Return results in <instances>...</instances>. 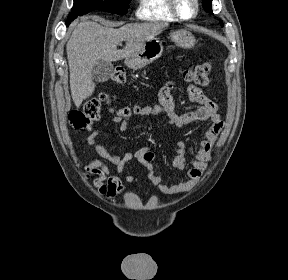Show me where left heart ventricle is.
<instances>
[{"instance_id":"b2bd125f","label":"left heart ventricle","mask_w":288,"mask_h":280,"mask_svg":"<svg viewBox=\"0 0 288 280\" xmlns=\"http://www.w3.org/2000/svg\"><path fill=\"white\" fill-rule=\"evenodd\" d=\"M178 10L184 17H189L193 14L194 3L193 0H177Z\"/></svg>"}]
</instances>
